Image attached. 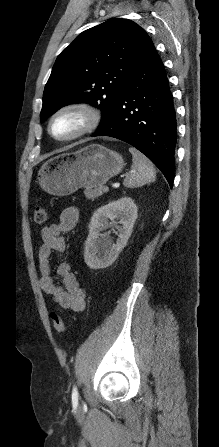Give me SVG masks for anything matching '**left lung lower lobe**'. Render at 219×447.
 Masks as SVG:
<instances>
[{
    "instance_id": "obj_1",
    "label": "left lung lower lobe",
    "mask_w": 219,
    "mask_h": 447,
    "mask_svg": "<svg viewBox=\"0 0 219 447\" xmlns=\"http://www.w3.org/2000/svg\"><path fill=\"white\" fill-rule=\"evenodd\" d=\"M92 136H110L131 144L160 169L172 188L176 117L165 68L152 41Z\"/></svg>"
}]
</instances>
